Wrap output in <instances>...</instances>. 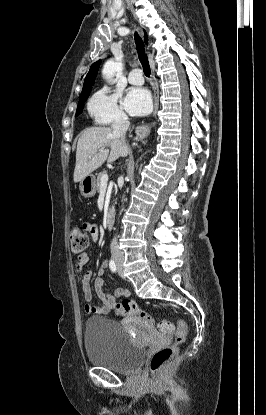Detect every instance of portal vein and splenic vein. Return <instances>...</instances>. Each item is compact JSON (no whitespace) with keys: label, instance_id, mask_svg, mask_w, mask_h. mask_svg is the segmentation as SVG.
I'll list each match as a JSON object with an SVG mask.
<instances>
[{"label":"portal vein and splenic vein","instance_id":"1","mask_svg":"<svg viewBox=\"0 0 266 415\" xmlns=\"http://www.w3.org/2000/svg\"><path fill=\"white\" fill-rule=\"evenodd\" d=\"M107 183H108V175L104 174L101 178L100 184H101V188H106L107 187Z\"/></svg>","mask_w":266,"mask_h":415}]
</instances>
